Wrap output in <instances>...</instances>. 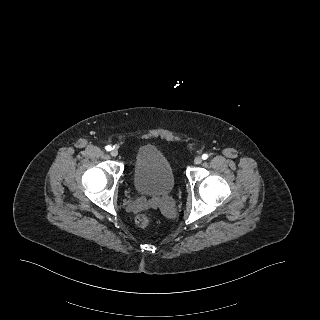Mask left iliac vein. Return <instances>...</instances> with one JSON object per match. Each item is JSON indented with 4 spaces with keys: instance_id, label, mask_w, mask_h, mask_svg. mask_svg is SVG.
<instances>
[{
    "instance_id": "4c4485c4",
    "label": "left iliac vein",
    "mask_w": 320,
    "mask_h": 320,
    "mask_svg": "<svg viewBox=\"0 0 320 320\" xmlns=\"http://www.w3.org/2000/svg\"><path fill=\"white\" fill-rule=\"evenodd\" d=\"M202 161H203L202 158L199 157V156L194 159V163L197 164V165H198V164H201Z\"/></svg>"
}]
</instances>
